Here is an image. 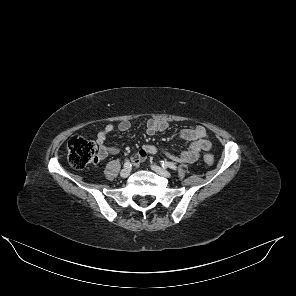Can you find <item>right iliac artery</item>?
<instances>
[{
    "instance_id": "right-iliac-artery-1",
    "label": "right iliac artery",
    "mask_w": 296,
    "mask_h": 296,
    "mask_svg": "<svg viewBox=\"0 0 296 296\" xmlns=\"http://www.w3.org/2000/svg\"><path fill=\"white\" fill-rule=\"evenodd\" d=\"M124 167H125V168H129V167H131V163H130L129 161H126V162L124 163Z\"/></svg>"
}]
</instances>
